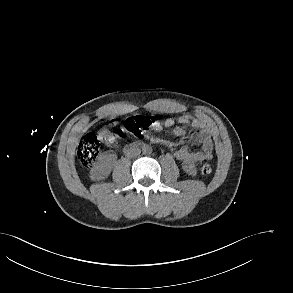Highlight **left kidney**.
I'll use <instances>...</instances> for the list:
<instances>
[{"label":"left kidney","instance_id":"5707ae66","mask_svg":"<svg viewBox=\"0 0 293 293\" xmlns=\"http://www.w3.org/2000/svg\"><path fill=\"white\" fill-rule=\"evenodd\" d=\"M183 170L186 172V173H188L189 175H196V173H197V170H196V167H195V165L193 164V163H184L183 164Z\"/></svg>","mask_w":293,"mask_h":293}]
</instances>
